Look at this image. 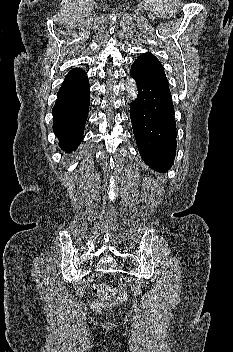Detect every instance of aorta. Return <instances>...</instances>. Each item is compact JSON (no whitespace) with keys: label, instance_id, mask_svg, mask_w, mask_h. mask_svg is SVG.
I'll use <instances>...</instances> for the list:
<instances>
[{"label":"aorta","instance_id":"1","mask_svg":"<svg viewBox=\"0 0 233 352\" xmlns=\"http://www.w3.org/2000/svg\"><path fill=\"white\" fill-rule=\"evenodd\" d=\"M126 90L128 97L132 100H135L137 98L138 90L136 86V82L133 79H128L127 84H126Z\"/></svg>","mask_w":233,"mask_h":352}]
</instances>
